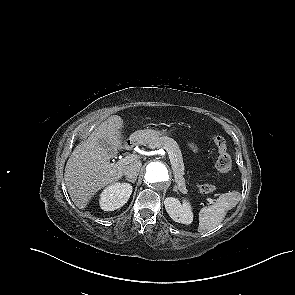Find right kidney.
<instances>
[{
	"instance_id": "right-kidney-1",
	"label": "right kidney",
	"mask_w": 295,
	"mask_h": 295,
	"mask_svg": "<svg viewBox=\"0 0 295 295\" xmlns=\"http://www.w3.org/2000/svg\"><path fill=\"white\" fill-rule=\"evenodd\" d=\"M132 193V186L127 183H115L101 193L100 207L104 211H114L127 203Z\"/></svg>"
}]
</instances>
